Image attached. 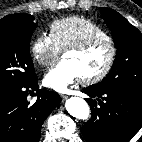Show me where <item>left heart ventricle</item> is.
<instances>
[{
    "label": "left heart ventricle",
    "mask_w": 142,
    "mask_h": 142,
    "mask_svg": "<svg viewBox=\"0 0 142 142\" xmlns=\"http://www.w3.org/2000/svg\"><path fill=\"white\" fill-rule=\"evenodd\" d=\"M110 49L107 43H98L84 52H70L64 59L71 61L81 77L99 72L107 63Z\"/></svg>",
    "instance_id": "obj_1"
}]
</instances>
